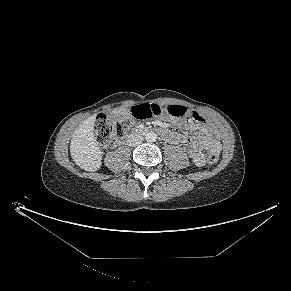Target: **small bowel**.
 <instances>
[{"label":"small bowel","mask_w":291,"mask_h":291,"mask_svg":"<svg viewBox=\"0 0 291 291\" xmlns=\"http://www.w3.org/2000/svg\"><path fill=\"white\" fill-rule=\"evenodd\" d=\"M120 112L123 115L128 113L124 109ZM152 125L161 128L160 132L167 141L185 145L189 149L192 159L198 165L205 163V150H219L218 134L208 126L200 115L196 119L187 118L185 120H178L176 117L170 116L164 120H154ZM169 126H177L181 131L167 130L166 128Z\"/></svg>","instance_id":"1"}]
</instances>
